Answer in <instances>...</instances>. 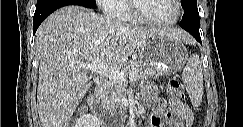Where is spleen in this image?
<instances>
[{
	"mask_svg": "<svg viewBox=\"0 0 243 127\" xmlns=\"http://www.w3.org/2000/svg\"><path fill=\"white\" fill-rule=\"evenodd\" d=\"M182 80L193 106L201 104L203 96V73L202 63L197 54H193L188 59L182 73Z\"/></svg>",
	"mask_w": 243,
	"mask_h": 127,
	"instance_id": "1",
	"label": "spleen"
}]
</instances>
